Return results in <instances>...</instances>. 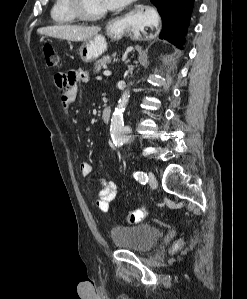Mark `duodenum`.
<instances>
[{"instance_id":"obj_1","label":"duodenum","mask_w":247,"mask_h":299,"mask_svg":"<svg viewBox=\"0 0 247 299\" xmlns=\"http://www.w3.org/2000/svg\"><path fill=\"white\" fill-rule=\"evenodd\" d=\"M112 116V109L110 107H106L102 111V120L104 122H109Z\"/></svg>"}]
</instances>
